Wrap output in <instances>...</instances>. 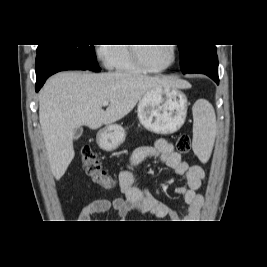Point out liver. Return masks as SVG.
Instances as JSON below:
<instances>
[{"label":"liver","instance_id":"6515ba94","mask_svg":"<svg viewBox=\"0 0 267 267\" xmlns=\"http://www.w3.org/2000/svg\"><path fill=\"white\" fill-rule=\"evenodd\" d=\"M190 88L184 80L126 72H60L39 94V121L53 176L59 180L74 158V130L98 129L130 113L150 90ZM108 101L106 110L102 103Z\"/></svg>","mask_w":267,"mask_h":267}]
</instances>
